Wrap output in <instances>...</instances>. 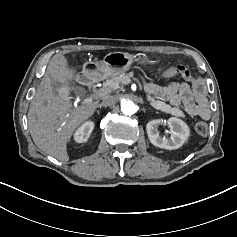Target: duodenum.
Instances as JSON below:
<instances>
[{"mask_svg": "<svg viewBox=\"0 0 237 237\" xmlns=\"http://www.w3.org/2000/svg\"><path fill=\"white\" fill-rule=\"evenodd\" d=\"M100 70L95 66L86 67L79 76V81L83 85L90 86L100 78Z\"/></svg>", "mask_w": 237, "mask_h": 237, "instance_id": "obj_1", "label": "duodenum"}]
</instances>
